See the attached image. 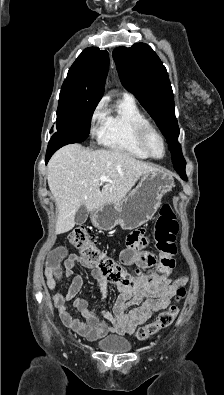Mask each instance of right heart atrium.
<instances>
[{
	"label": "right heart atrium",
	"instance_id": "d8ad5b80",
	"mask_svg": "<svg viewBox=\"0 0 224 395\" xmlns=\"http://www.w3.org/2000/svg\"><path fill=\"white\" fill-rule=\"evenodd\" d=\"M106 117H107L106 102L104 99H101L94 106L89 118L90 133L93 136L100 135Z\"/></svg>",
	"mask_w": 224,
	"mask_h": 395
}]
</instances>
